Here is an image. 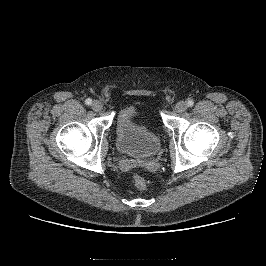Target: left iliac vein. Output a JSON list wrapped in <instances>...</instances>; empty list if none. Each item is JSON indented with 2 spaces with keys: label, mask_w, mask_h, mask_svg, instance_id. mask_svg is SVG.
Here are the masks:
<instances>
[{
  "label": "left iliac vein",
  "mask_w": 266,
  "mask_h": 266,
  "mask_svg": "<svg viewBox=\"0 0 266 266\" xmlns=\"http://www.w3.org/2000/svg\"><path fill=\"white\" fill-rule=\"evenodd\" d=\"M187 109V104L184 101H180L175 105V110L178 113H182Z\"/></svg>",
  "instance_id": "4c4485c4"
}]
</instances>
